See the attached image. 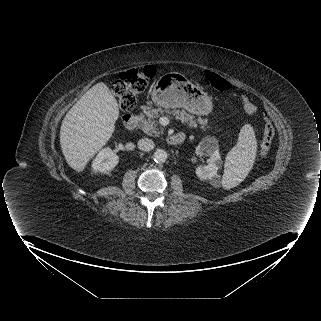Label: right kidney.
<instances>
[{
	"instance_id": "ca27d5eb",
	"label": "right kidney",
	"mask_w": 321,
	"mask_h": 321,
	"mask_svg": "<svg viewBox=\"0 0 321 321\" xmlns=\"http://www.w3.org/2000/svg\"><path fill=\"white\" fill-rule=\"evenodd\" d=\"M118 164V156L110 149H102L92 163L95 172H107Z\"/></svg>"
}]
</instances>
